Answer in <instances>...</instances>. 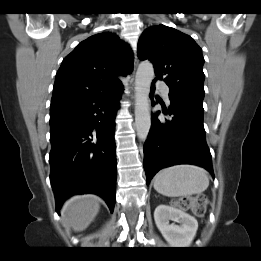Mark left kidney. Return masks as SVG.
Listing matches in <instances>:
<instances>
[{
  "mask_svg": "<svg viewBox=\"0 0 261 261\" xmlns=\"http://www.w3.org/2000/svg\"><path fill=\"white\" fill-rule=\"evenodd\" d=\"M157 228L171 247H188L197 232V220L181 209L159 205L154 211ZM169 220L178 222L170 224Z\"/></svg>",
  "mask_w": 261,
  "mask_h": 261,
  "instance_id": "left-kidney-1",
  "label": "left kidney"
}]
</instances>
